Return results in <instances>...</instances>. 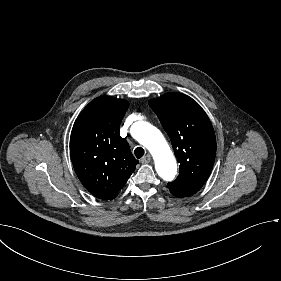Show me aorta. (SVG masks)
Masks as SVG:
<instances>
[{
  "mask_svg": "<svg viewBox=\"0 0 281 281\" xmlns=\"http://www.w3.org/2000/svg\"><path fill=\"white\" fill-rule=\"evenodd\" d=\"M135 136L152 154L158 175L163 180H173L177 170L176 160L160 130L147 122L139 121L135 123Z\"/></svg>",
  "mask_w": 281,
  "mask_h": 281,
  "instance_id": "1",
  "label": "aorta"
}]
</instances>
